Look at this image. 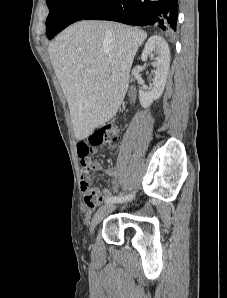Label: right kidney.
I'll use <instances>...</instances> for the list:
<instances>
[{
  "label": "right kidney",
  "mask_w": 227,
  "mask_h": 298,
  "mask_svg": "<svg viewBox=\"0 0 227 298\" xmlns=\"http://www.w3.org/2000/svg\"><path fill=\"white\" fill-rule=\"evenodd\" d=\"M154 56H156L154 58ZM154 59L156 71L153 79V88L150 91H139V101L142 107H149L163 93L170 68V50L167 42L159 36H152L145 44L141 59Z\"/></svg>",
  "instance_id": "right-kidney-1"
}]
</instances>
